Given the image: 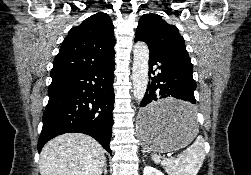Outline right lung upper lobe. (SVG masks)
<instances>
[{
	"label": "right lung upper lobe",
	"instance_id": "1",
	"mask_svg": "<svg viewBox=\"0 0 251 175\" xmlns=\"http://www.w3.org/2000/svg\"><path fill=\"white\" fill-rule=\"evenodd\" d=\"M114 26L104 12L96 13L73 27L53 62L51 77L106 66L114 60Z\"/></svg>",
	"mask_w": 251,
	"mask_h": 175
}]
</instances>
